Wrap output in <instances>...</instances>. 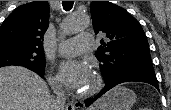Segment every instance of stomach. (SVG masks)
I'll use <instances>...</instances> for the list:
<instances>
[{
    "label": "stomach",
    "instance_id": "0dacf381",
    "mask_svg": "<svg viewBox=\"0 0 171 110\" xmlns=\"http://www.w3.org/2000/svg\"><path fill=\"white\" fill-rule=\"evenodd\" d=\"M102 105L97 110H131L136 102L135 93L125 87H116L102 98Z\"/></svg>",
    "mask_w": 171,
    "mask_h": 110
}]
</instances>
